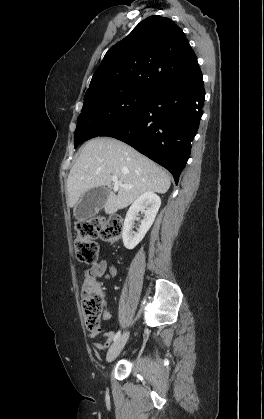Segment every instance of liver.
I'll return each instance as SVG.
<instances>
[{
	"mask_svg": "<svg viewBox=\"0 0 264 419\" xmlns=\"http://www.w3.org/2000/svg\"><path fill=\"white\" fill-rule=\"evenodd\" d=\"M112 176L132 187L113 188ZM170 184V177L164 169L131 146L114 138L98 137L81 148L70 170L67 179L68 205L74 207L90 189L107 186L110 193L104 210L106 214H114L145 192L166 193Z\"/></svg>",
	"mask_w": 264,
	"mask_h": 419,
	"instance_id": "liver-1",
	"label": "liver"
}]
</instances>
